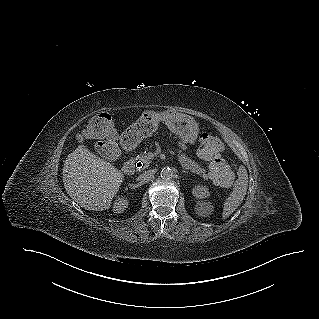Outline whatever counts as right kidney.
I'll list each match as a JSON object with an SVG mask.
<instances>
[{"instance_id":"1","label":"right kidney","mask_w":319,"mask_h":319,"mask_svg":"<svg viewBox=\"0 0 319 319\" xmlns=\"http://www.w3.org/2000/svg\"><path fill=\"white\" fill-rule=\"evenodd\" d=\"M128 207V201L124 197H118L113 206V211L115 213H123L124 210Z\"/></svg>"}]
</instances>
